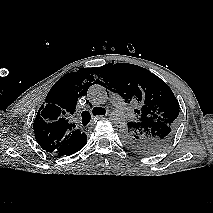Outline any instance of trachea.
Masks as SVG:
<instances>
[{
	"instance_id": "obj_1",
	"label": "trachea",
	"mask_w": 213,
	"mask_h": 213,
	"mask_svg": "<svg viewBox=\"0 0 213 213\" xmlns=\"http://www.w3.org/2000/svg\"><path fill=\"white\" fill-rule=\"evenodd\" d=\"M93 115H104L106 113L105 109L101 107H95L92 110ZM91 120V114L88 111L82 112V124L86 126Z\"/></svg>"
}]
</instances>
